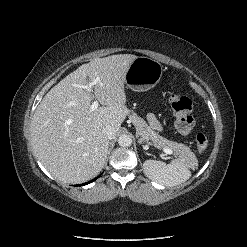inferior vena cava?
<instances>
[{
    "instance_id": "inferior-vena-cava-1",
    "label": "inferior vena cava",
    "mask_w": 247,
    "mask_h": 247,
    "mask_svg": "<svg viewBox=\"0 0 247 247\" xmlns=\"http://www.w3.org/2000/svg\"><path fill=\"white\" fill-rule=\"evenodd\" d=\"M103 133L108 140H112L116 136V130L112 126H106Z\"/></svg>"
}]
</instances>
